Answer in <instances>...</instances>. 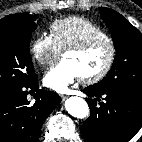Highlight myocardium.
I'll return each instance as SVG.
<instances>
[{"label": "myocardium", "instance_id": "1", "mask_svg": "<svg viewBox=\"0 0 142 142\" xmlns=\"http://www.w3.org/2000/svg\"><path fill=\"white\" fill-rule=\"evenodd\" d=\"M100 43L107 44L109 48L108 59L104 67L101 70H99L97 73L82 77V81L86 84H93L99 82L108 75V73L113 67L116 58V47L114 45V42L110 38L95 36V37H90L80 43L69 46L63 50V56L68 52L82 53Z\"/></svg>", "mask_w": 142, "mask_h": 142}]
</instances>
